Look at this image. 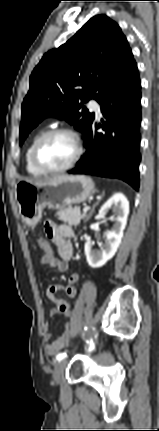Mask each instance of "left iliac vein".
Returning <instances> with one entry per match:
<instances>
[{
  "instance_id": "obj_1",
  "label": "left iliac vein",
  "mask_w": 159,
  "mask_h": 431,
  "mask_svg": "<svg viewBox=\"0 0 159 431\" xmlns=\"http://www.w3.org/2000/svg\"><path fill=\"white\" fill-rule=\"evenodd\" d=\"M66 365H67V362L65 360H61L56 364L55 370L53 373V378L56 384H59L61 382Z\"/></svg>"
}]
</instances>
